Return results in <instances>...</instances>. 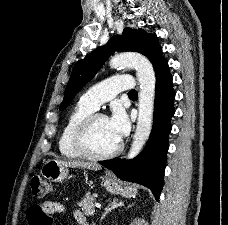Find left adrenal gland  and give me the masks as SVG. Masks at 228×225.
Here are the masks:
<instances>
[{
	"label": "left adrenal gland",
	"mask_w": 228,
	"mask_h": 225,
	"mask_svg": "<svg viewBox=\"0 0 228 225\" xmlns=\"http://www.w3.org/2000/svg\"><path fill=\"white\" fill-rule=\"evenodd\" d=\"M118 207H124V205L121 203V201H119V199H114L113 203H109L108 207H106L105 213H103L100 221H102V219H105L106 215H108L112 209H118Z\"/></svg>",
	"instance_id": "1"
}]
</instances>
